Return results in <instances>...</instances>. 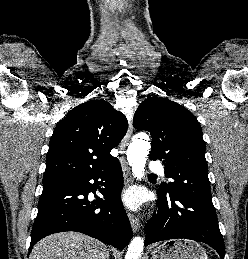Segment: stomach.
Segmentation results:
<instances>
[{
	"label": "stomach",
	"mask_w": 248,
	"mask_h": 259,
	"mask_svg": "<svg viewBox=\"0 0 248 259\" xmlns=\"http://www.w3.org/2000/svg\"><path fill=\"white\" fill-rule=\"evenodd\" d=\"M151 259H208L205 249L192 240L174 239L152 251Z\"/></svg>",
	"instance_id": "stomach-1"
}]
</instances>
